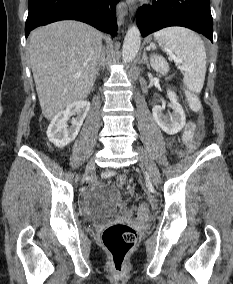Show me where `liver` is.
Returning <instances> with one entry per match:
<instances>
[{
	"instance_id": "6515ba94",
	"label": "liver",
	"mask_w": 233,
	"mask_h": 284,
	"mask_svg": "<svg viewBox=\"0 0 233 284\" xmlns=\"http://www.w3.org/2000/svg\"><path fill=\"white\" fill-rule=\"evenodd\" d=\"M101 50V33L77 21L55 22L31 33L30 63L46 119L88 96Z\"/></svg>"
}]
</instances>
